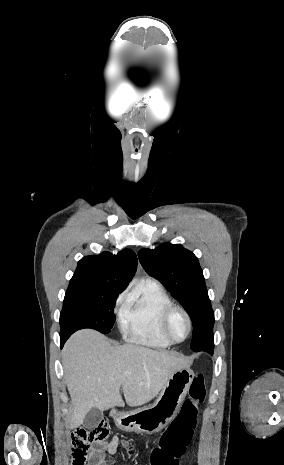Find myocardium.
Wrapping results in <instances>:
<instances>
[{
	"label": "myocardium",
	"mask_w": 284,
	"mask_h": 465,
	"mask_svg": "<svg viewBox=\"0 0 284 465\" xmlns=\"http://www.w3.org/2000/svg\"><path fill=\"white\" fill-rule=\"evenodd\" d=\"M176 312H181L185 316L186 321H187V327H188L187 335L181 341L174 340L171 337V335L169 334V331H168L169 321H170L171 317L173 316V314L176 313ZM192 329H193V323H192V319H191L190 314L184 308H182L180 306L172 305V306L168 307L165 310V312L163 313L162 317H161V320H160V332H161L162 336L165 338V340H167L170 344L178 345V344H182V343L186 342L189 339V337H190V335L192 333Z\"/></svg>",
	"instance_id": "1"
}]
</instances>
